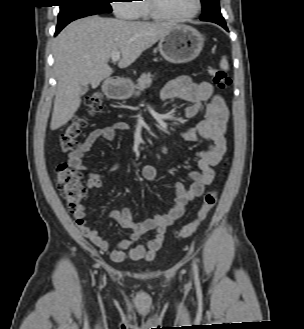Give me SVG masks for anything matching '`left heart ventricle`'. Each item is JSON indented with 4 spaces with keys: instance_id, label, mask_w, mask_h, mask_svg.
<instances>
[{
    "instance_id": "1",
    "label": "left heart ventricle",
    "mask_w": 304,
    "mask_h": 329,
    "mask_svg": "<svg viewBox=\"0 0 304 329\" xmlns=\"http://www.w3.org/2000/svg\"><path fill=\"white\" fill-rule=\"evenodd\" d=\"M163 11L169 15L182 16L191 13L196 5L195 0H158Z\"/></svg>"
}]
</instances>
